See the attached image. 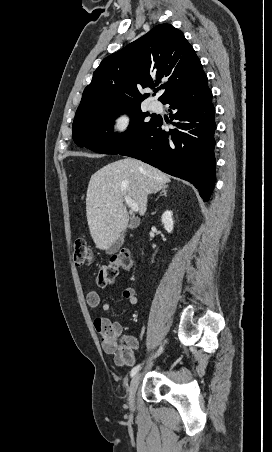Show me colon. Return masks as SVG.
Segmentation results:
<instances>
[{
	"label": "colon",
	"instance_id": "colon-1",
	"mask_svg": "<svg viewBox=\"0 0 272 452\" xmlns=\"http://www.w3.org/2000/svg\"><path fill=\"white\" fill-rule=\"evenodd\" d=\"M74 263L77 266L90 265L95 261L94 251L85 239H77L74 244ZM131 267V257L129 252H120L110 257L109 261L102 264L97 275V283L101 287L112 285L119 273L129 270ZM109 347L117 349L115 362L118 365H132L134 363L133 349L136 342L117 339L109 344Z\"/></svg>",
	"mask_w": 272,
	"mask_h": 452
}]
</instances>
